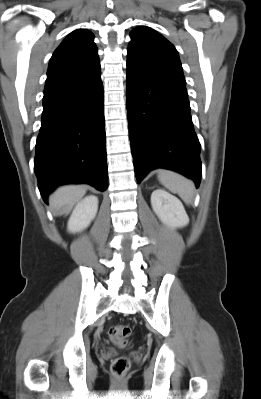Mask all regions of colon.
<instances>
[{
    "label": "colon",
    "instance_id": "5ec220e1",
    "mask_svg": "<svg viewBox=\"0 0 261 399\" xmlns=\"http://www.w3.org/2000/svg\"><path fill=\"white\" fill-rule=\"evenodd\" d=\"M131 334L130 327L126 325H114L109 329L110 340L118 347L125 348L129 346L128 337ZM131 366L127 357H119L112 362L111 370L114 375H125Z\"/></svg>",
    "mask_w": 261,
    "mask_h": 399
}]
</instances>
